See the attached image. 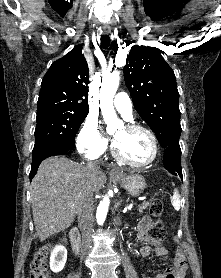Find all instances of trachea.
<instances>
[{
  "mask_svg": "<svg viewBox=\"0 0 221 278\" xmlns=\"http://www.w3.org/2000/svg\"><path fill=\"white\" fill-rule=\"evenodd\" d=\"M101 45L102 48L107 49L110 45V37L109 35H102L101 36Z\"/></svg>",
  "mask_w": 221,
  "mask_h": 278,
  "instance_id": "1",
  "label": "trachea"
}]
</instances>
